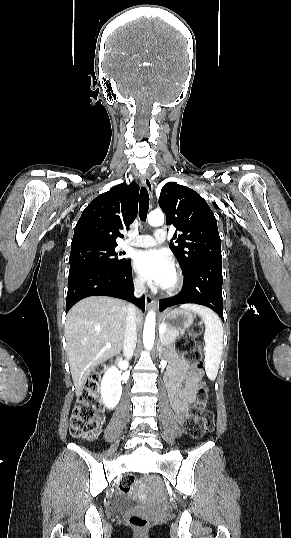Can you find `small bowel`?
<instances>
[{"instance_id":"c3829d8e","label":"small bowel","mask_w":291,"mask_h":538,"mask_svg":"<svg viewBox=\"0 0 291 538\" xmlns=\"http://www.w3.org/2000/svg\"><path fill=\"white\" fill-rule=\"evenodd\" d=\"M199 378L195 369L190 367L184 360L176 359L167 375V384L171 402L181 419L184 407L195 402V393ZM184 388H181V384Z\"/></svg>"}]
</instances>
